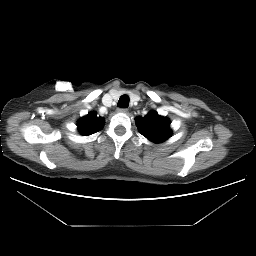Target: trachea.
<instances>
[{"mask_svg": "<svg viewBox=\"0 0 256 256\" xmlns=\"http://www.w3.org/2000/svg\"><path fill=\"white\" fill-rule=\"evenodd\" d=\"M129 96L128 95H122L117 103V106L120 108H127L129 106Z\"/></svg>", "mask_w": 256, "mask_h": 256, "instance_id": "3493384b", "label": "trachea"}]
</instances>
